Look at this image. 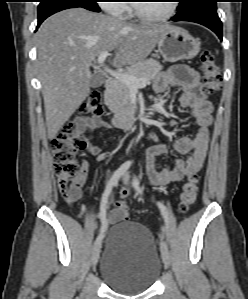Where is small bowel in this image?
<instances>
[{
    "instance_id": "1",
    "label": "small bowel",
    "mask_w": 248,
    "mask_h": 299,
    "mask_svg": "<svg viewBox=\"0 0 248 299\" xmlns=\"http://www.w3.org/2000/svg\"><path fill=\"white\" fill-rule=\"evenodd\" d=\"M171 88L181 91L179 105L191 110L192 117L197 124V131L193 137L184 136L176 140L175 151L179 154H188V157L186 159L176 158L172 168L161 167L157 163V159L168 152L163 143H155L145 152L147 178L154 186L177 183L198 172L203 166L209 145L213 105L205 96L199 73L190 68L178 66L169 72L160 74L154 85V91L161 95ZM171 125H175V122H171ZM110 127V123L99 117H81L75 122L77 133L88 132V136H84L85 149L92 156L100 157L103 153L102 148L93 143L94 131ZM86 166L87 164L84 163V167ZM129 194L130 188L124 187L121 197L126 198ZM119 205L109 213L106 219L108 223H116L121 219L118 214ZM88 225L93 228L95 223L89 222Z\"/></svg>"
}]
</instances>
